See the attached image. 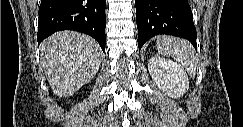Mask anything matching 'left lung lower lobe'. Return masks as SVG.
Masks as SVG:
<instances>
[{
    "mask_svg": "<svg viewBox=\"0 0 243 127\" xmlns=\"http://www.w3.org/2000/svg\"><path fill=\"white\" fill-rule=\"evenodd\" d=\"M138 47L155 35L185 38L197 48L196 28L188 0H135Z\"/></svg>",
    "mask_w": 243,
    "mask_h": 127,
    "instance_id": "0a47b994",
    "label": "left lung lower lobe"
}]
</instances>
